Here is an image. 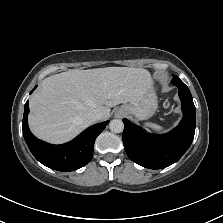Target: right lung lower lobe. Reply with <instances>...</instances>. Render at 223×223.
<instances>
[{
	"label": "right lung lower lobe",
	"instance_id": "obj_1",
	"mask_svg": "<svg viewBox=\"0 0 223 223\" xmlns=\"http://www.w3.org/2000/svg\"><path fill=\"white\" fill-rule=\"evenodd\" d=\"M28 113L27 101L24 107L23 136L30 151L43 165L63 172L79 169L91 160L95 139L109 123L105 121L93 125L66 144L52 145L37 139L30 132L27 121Z\"/></svg>",
	"mask_w": 223,
	"mask_h": 223
}]
</instances>
